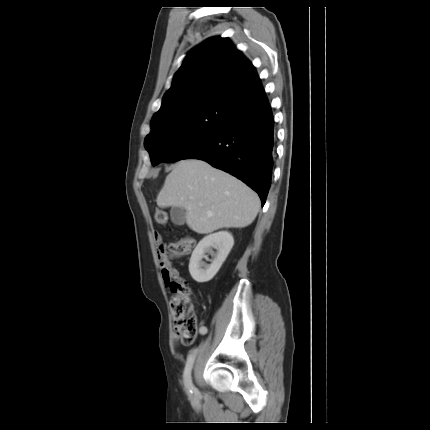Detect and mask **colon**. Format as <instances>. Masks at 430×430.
I'll use <instances>...</instances> for the list:
<instances>
[{
    "label": "colon",
    "instance_id": "colon-1",
    "mask_svg": "<svg viewBox=\"0 0 430 430\" xmlns=\"http://www.w3.org/2000/svg\"><path fill=\"white\" fill-rule=\"evenodd\" d=\"M154 217L156 222L160 225L167 223L168 217L163 210H157ZM192 246L193 240L190 238H183L168 246L165 244L160 245L158 247V253L163 251L168 258L179 257L189 253ZM173 280L174 285L169 288L172 293L170 305L174 331L183 344L189 345L197 336V317L190 299V289L186 281L178 277L173 278Z\"/></svg>",
    "mask_w": 430,
    "mask_h": 430
}]
</instances>
